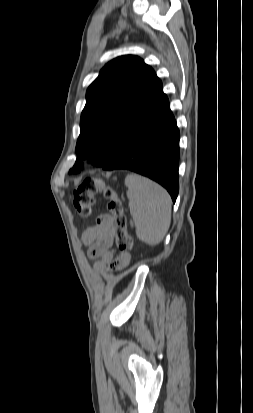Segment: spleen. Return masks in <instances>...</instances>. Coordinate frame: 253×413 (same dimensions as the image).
<instances>
[{
  "instance_id": "1",
  "label": "spleen",
  "mask_w": 253,
  "mask_h": 413,
  "mask_svg": "<svg viewBox=\"0 0 253 413\" xmlns=\"http://www.w3.org/2000/svg\"><path fill=\"white\" fill-rule=\"evenodd\" d=\"M130 213L136 236L148 245H157L171 224V198L159 184L138 174L125 178Z\"/></svg>"
}]
</instances>
